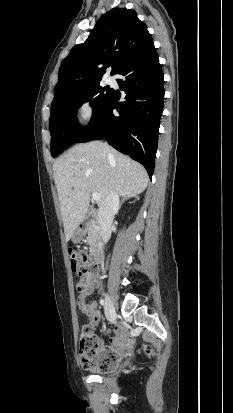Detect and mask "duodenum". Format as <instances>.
Segmentation results:
<instances>
[{
  "label": "duodenum",
  "instance_id": "410a0bca",
  "mask_svg": "<svg viewBox=\"0 0 233 413\" xmlns=\"http://www.w3.org/2000/svg\"><path fill=\"white\" fill-rule=\"evenodd\" d=\"M87 228H88V224H87L86 222H82V223L79 225V229H80V231H81L82 233L86 232ZM92 257H93V259H94L95 261H100V260H101V258H102V252H101V248H100L99 245H95V246L92 248Z\"/></svg>",
  "mask_w": 233,
  "mask_h": 413
}]
</instances>
